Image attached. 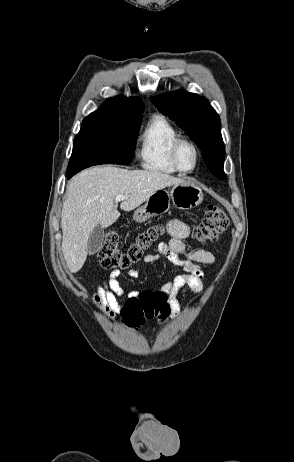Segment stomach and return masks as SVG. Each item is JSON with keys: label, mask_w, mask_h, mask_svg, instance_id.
Masks as SVG:
<instances>
[{"label": "stomach", "mask_w": 294, "mask_h": 462, "mask_svg": "<svg viewBox=\"0 0 294 462\" xmlns=\"http://www.w3.org/2000/svg\"><path fill=\"white\" fill-rule=\"evenodd\" d=\"M203 196L200 187L184 181L173 185L170 191L161 189L154 192L146 203L134 212L133 219L142 223L151 217L164 214L170 209L171 202L178 209L189 210L198 206Z\"/></svg>", "instance_id": "stomach-1"}]
</instances>
